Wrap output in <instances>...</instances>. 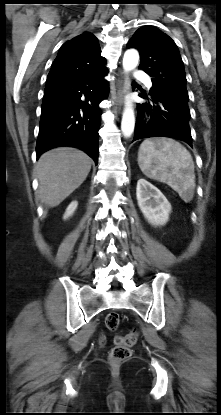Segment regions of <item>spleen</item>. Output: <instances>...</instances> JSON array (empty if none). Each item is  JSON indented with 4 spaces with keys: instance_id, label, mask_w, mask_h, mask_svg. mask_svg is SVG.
Masks as SVG:
<instances>
[{
    "instance_id": "spleen-1",
    "label": "spleen",
    "mask_w": 221,
    "mask_h": 415,
    "mask_svg": "<svg viewBox=\"0 0 221 415\" xmlns=\"http://www.w3.org/2000/svg\"><path fill=\"white\" fill-rule=\"evenodd\" d=\"M138 165L149 178L168 184L188 203L194 196V163L189 151L169 138L144 140L138 151Z\"/></svg>"
}]
</instances>
